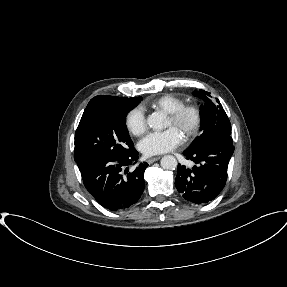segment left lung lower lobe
I'll list each match as a JSON object with an SVG mask.
<instances>
[{"instance_id":"left-lung-lower-lobe-1","label":"left lung lower lobe","mask_w":287,"mask_h":287,"mask_svg":"<svg viewBox=\"0 0 287 287\" xmlns=\"http://www.w3.org/2000/svg\"><path fill=\"white\" fill-rule=\"evenodd\" d=\"M234 152L231 137H226L196 151H184L195 162L191 169L178 165L175 184L183 197L196 204L212 201L227 181L229 160Z\"/></svg>"}]
</instances>
